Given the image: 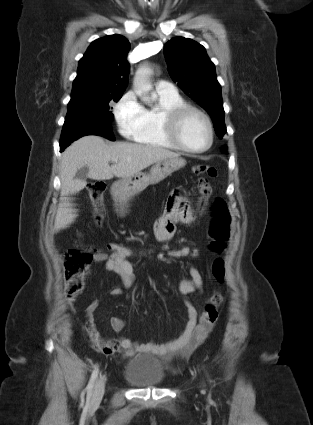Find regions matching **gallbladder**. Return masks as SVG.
<instances>
[{
  "mask_svg": "<svg viewBox=\"0 0 313 425\" xmlns=\"http://www.w3.org/2000/svg\"><path fill=\"white\" fill-rule=\"evenodd\" d=\"M89 168L87 166H84L80 168L76 174V178L85 181L88 178Z\"/></svg>",
  "mask_w": 313,
  "mask_h": 425,
  "instance_id": "gallbladder-1",
  "label": "gallbladder"
}]
</instances>
